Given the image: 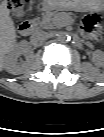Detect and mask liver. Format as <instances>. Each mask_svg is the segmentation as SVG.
I'll list each match as a JSON object with an SVG mask.
<instances>
[{"label":"liver","instance_id":"1","mask_svg":"<svg viewBox=\"0 0 104 137\" xmlns=\"http://www.w3.org/2000/svg\"><path fill=\"white\" fill-rule=\"evenodd\" d=\"M16 32L13 20L9 16L7 3L0 6V53L1 67H4L5 54L9 53L16 45Z\"/></svg>","mask_w":104,"mask_h":137}]
</instances>
